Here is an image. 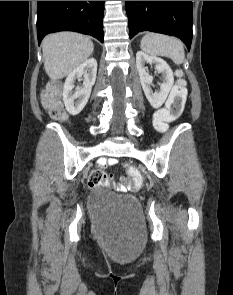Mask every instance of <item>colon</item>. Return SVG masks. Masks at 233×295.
Here are the masks:
<instances>
[{"mask_svg": "<svg viewBox=\"0 0 233 295\" xmlns=\"http://www.w3.org/2000/svg\"><path fill=\"white\" fill-rule=\"evenodd\" d=\"M60 90L61 86L59 83L48 84L43 92L42 102L52 118L65 120L66 112L60 100ZM186 98L187 83L179 76L172 87L166 106L155 113L154 122L159 131L165 132L168 129V125L180 116L184 109ZM127 172L135 185L139 186L142 181L140 171L135 166L127 165ZM88 184L91 188L106 186L108 184V176L101 169L93 170L89 175Z\"/></svg>", "mask_w": 233, "mask_h": 295, "instance_id": "1", "label": "colon"}]
</instances>
